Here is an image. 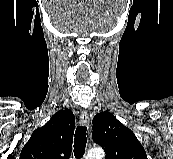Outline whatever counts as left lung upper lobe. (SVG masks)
I'll use <instances>...</instances> for the list:
<instances>
[{
    "label": "left lung upper lobe",
    "mask_w": 173,
    "mask_h": 159,
    "mask_svg": "<svg viewBox=\"0 0 173 159\" xmlns=\"http://www.w3.org/2000/svg\"><path fill=\"white\" fill-rule=\"evenodd\" d=\"M93 141L106 153L105 159H147L135 134L109 112L97 114L92 121Z\"/></svg>",
    "instance_id": "1"
}]
</instances>
